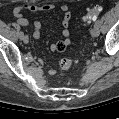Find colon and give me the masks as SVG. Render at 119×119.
Returning a JSON list of instances; mask_svg holds the SVG:
<instances>
[{"mask_svg": "<svg viewBox=\"0 0 119 119\" xmlns=\"http://www.w3.org/2000/svg\"><path fill=\"white\" fill-rule=\"evenodd\" d=\"M102 8L100 6L97 5H92L86 15H85V20L87 22H91L94 21L95 19H97L100 14H101ZM60 64V68L62 70L63 73H65L73 64V60L70 58H63L60 60L59 62Z\"/></svg>", "mask_w": 119, "mask_h": 119, "instance_id": "obj_1", "label": "colon"}]
</instances>
